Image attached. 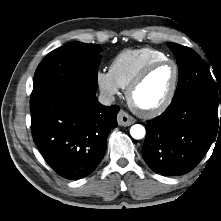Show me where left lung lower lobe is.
I'll return each instance as SVG.
<instances>
[{
	"mask_svg": "<svg viewBox=\"0 0 221 221\" xmlns=\"http://www.w3.org/2000/svg\"><path fill=\"white\" fill-rule=\"evenodd\" d=\"M145 127V162L157 173L177 176L190 172L205 156L221 130V117L219 125L217 104L212 100L186 95L173 100Z\"/></svg>",
	"mask_w": 221,
	"mask_h": 221,
	"instance_id": "0a47b994",
	"label": "left lung lower lobe"
}]
</instances>
